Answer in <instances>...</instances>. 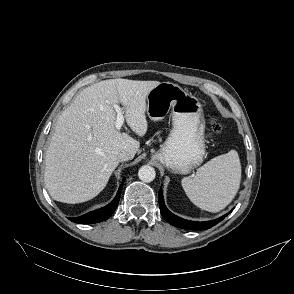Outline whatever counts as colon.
I'll return each mask as SVG.
<instances>
[{
	"instance_id": "colon-1",
	"label": "colon",
	"mask_w": 294,
	"mask_h": 294,
	"mask_svg": "<svg viewBox=\"0 0 294 294\" xmlns=\"http://www.w3.org/2000/svg\"><path fill=\"white\" fill-rule=\"evenodd\" d=\"M222 123L217 119H212L211 121V130L213 133H219L222 130Z\"/></svg>"
}]
</instances>
